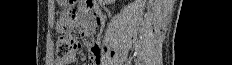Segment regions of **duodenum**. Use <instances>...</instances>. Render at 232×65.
Wrapping results in <instances>:
<instances>
[{
    "label": "duodenum",
    "instance_id": "duodenum-1",
    "mask_svg": "<svg viewBox=\"0 0 232 65\" xmlns=\"http://www.w3.org/2000/svg\"><path fill=\"white\" fill-rule=\"evenodd\" d=\"M82 26H83V29H89V28H90V25H89V23H88L87 21H85V22L82 24Z\"/></svg>",
    "mask_w": 232,
    "mask_h": 65
}]
</instances>
